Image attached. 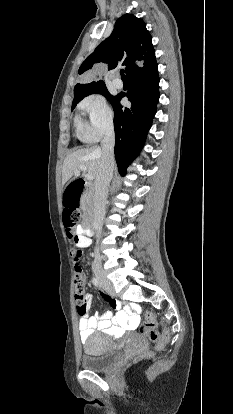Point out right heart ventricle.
<instances>
[{"label": "right heart ventricle", "mask_w": 233, "mask_h": 414, "mask_svg": "<svg viewBox=\"0 0 233 414\" xmlns=\"http://www.w3.org/2000/svg\"><path fill=\"white\" fill-rule=\"evenodd\" d=\"M76 128H77V131L79 132V134L82 136V134L84 132V125L82 124V122L79 119H76Z\"/></svg>", "instance_id": "1"}]
</instances>
